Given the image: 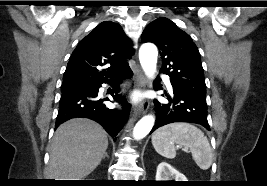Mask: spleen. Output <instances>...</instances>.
<instances>
[{
    "instance_id": "spleen-1",
    "label": "spleen",
    "mask_w": 267,
    "mask_h": 186,
    "mask_svg": "<svg viewBox=\"0 0 267 186\" xmlns=\"http://www.w3.org/2000/svg\"><path fill=\"white\" fill-rule=\"evenodd\" d=\"M190 149L195 163L203 170L212 164V150L207 137L189 123H172L157 129L152 135V145L161 156L173 159L176 156L174 145Z\"/></svg>"
}]
</instances>
